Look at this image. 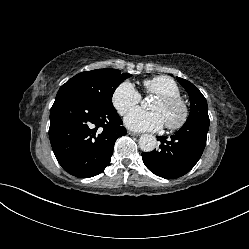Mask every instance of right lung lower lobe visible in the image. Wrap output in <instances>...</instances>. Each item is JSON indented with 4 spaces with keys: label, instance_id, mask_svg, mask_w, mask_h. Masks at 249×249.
<instances>
[{
    "label": "right lung lower lobe",
    "instance_id": "1",
    "mask_svg": "<svg viewBox=\"0 0 249 249\" xmlns=\"http://www.w3.org/2000/svg\"><path fill=\"white\" fill-rule=\"evenodd\" d=\"M49 138L59 164L89 178L110 163L115 141L126 134L115 108L106 109L69 92L57 93L50 111Z\"/></svg>",
    "mask_w": 249,
    "mask_h": 249
}]
</instances>
